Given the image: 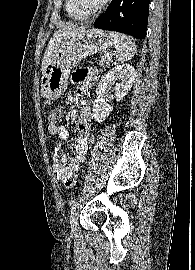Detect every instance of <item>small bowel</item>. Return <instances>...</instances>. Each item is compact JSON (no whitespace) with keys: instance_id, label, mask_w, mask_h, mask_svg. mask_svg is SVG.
I'll list each match as a JSON object with an SVG mask.
<instances>
[{"instance_id":"small-bowel-1","label":"small bowel","mask_w":195,"mask_h":270,"mask_svg":"<svg viewBox=\"0 0 195 270\" xmlns=\"http://www.w3.org/2000/svg\"><path fill=\"white\" fill-rule=\"evenodd\" d=\"M98 78L97 72L92 69H78L72 75V81L78 85L76 94H69L65 98L68 105H72L76 100L86 95L94 86ZM68 117L76 121L78 135L71 144L73 155L69 160L65 158L61 150V142L66 141L69 137V131L65 126H58L54 123L48 124V131L51 135L56 136L58 143L54 148L53 153V172L55 177L64 181L73 176L83 162L88 147L94 141V134L91 128L93 114L88 105H84L79 113L72 110Z\"/></svg>"}]
</instances>
